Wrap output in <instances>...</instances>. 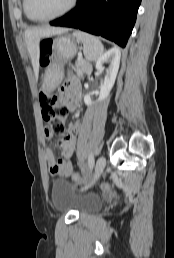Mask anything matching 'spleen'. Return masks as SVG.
<instances>
[{
	"mask_svg": "<svg viewBox=\"0 0 174 258\" xmlns=\"http://www.w3.org/2000/svg\"><path fill=\"white\" fill-rule=\"evenodd\" d=\"M73 36L83 43V53L87 60H97L104 52L99 38L82 31H74Z\"/></svg>",
	"mask_w": 174,
	"mask_h": 258,
	"instance_id": "obj_1",
	"label": "spleen"
}]
</instances>
